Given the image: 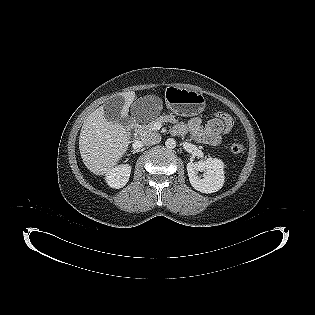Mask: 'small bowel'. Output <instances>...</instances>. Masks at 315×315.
Wrapping results in <instances>:
<instances>
[{
	"instance_id": "1",
	"label": "small bowel",
	"mask_w": 315,
	"mask_h": 315,
	"mask_svg": "<svg viewBox=\"0 0 315 315\" xmlns=\"http://www.w3.org/2000/svg\"><path fill=\"white\" fill-rule=\"evenodd\" d=\"M224 124L220 120L212 118L206 124L202 123L201 118L193 117L186 124H180L176 127L177 133L189 132L194 139L209 145H219L221 143V128Z\"/></svg>"
}]
</instances>
